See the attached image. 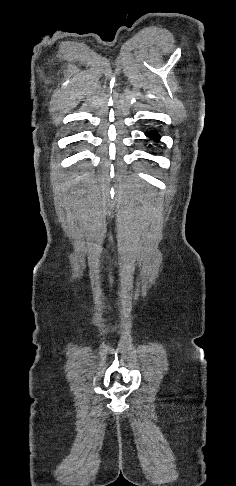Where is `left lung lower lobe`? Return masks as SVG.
I'll return each instance as SVG.
<instances>
[{
    "mask_svg": "<svg viewBox=\"0 0 236 486\" xmlns=\"http://www.w3.org/2000/svg\"><path fill=\"white\" fill-rule=\"evenodd\" d=\"M146 136L147 137H150L151 139H153L154 141L158 142L159 139H160V135L158 134L157 131L153 130L151 132H146Z\"/></svg>",
    "mask_w": 236,
    "mask_h": 486,
    "instance_id": "obj_1",
    "label": "left lung lower lobe"
}]
</instances>
